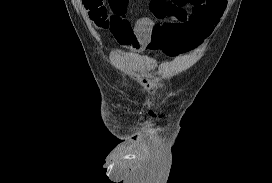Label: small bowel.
<instances>
[{
    "instance_id": "c3829d8e",
    "label": "small bowel",
    "mask_w": 272,
    "mask_h": 183,
    "mask_svg": "<svg viewBox=\"0 0 272 183\" xmlns=\"http://www.w3.org/2000/svg\"><path fill=\"white\" fill-rule=\"evenodd\" d=\"M226 4V0H152L151 10L159 23L141 17L131 24L125 14L111 31L118 44L131 51L182 54L213 32Z\"/></svg>"
}]
</instances>
